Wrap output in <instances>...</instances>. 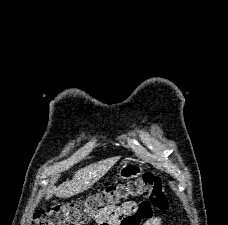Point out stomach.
<instances>
[{"label": "stomach", "instance_id": "obj_1", "mask_svg": "<svg viewBox=\"0 0 228 225\" xmlns=\"http://www.w3.org/2000/svg\"><path fill=\"white\" fill-rule=\"evenodd\" d=\"M142 173V165H139V163H124V165L120 167L118 175L119 179L128 181V179H135V177H140Z\"/></svg>", "mask_w": 228, "mask_h": 225}]
</instances>
